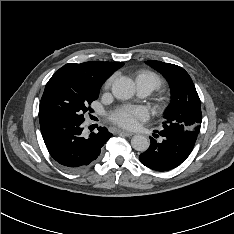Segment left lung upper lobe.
<instances>
[{
    "instance_id": "obj_1",
    "label": "left lung upper lobe",
    "mask_w": 234,
    "mask_h": 234,
    "mask_svg": "<svg viewBox=\"0 0 234 234\" xmlns=\"http://www.w3.org/2000/svg\"><path fill=\"white\" fill-rule=\"evenodd\" d=\"M160 72L169 82L172 93V106L165 115L163 130L183 136L186 141L195 144L202 113L200 99L189 74L180 66L161 61H146Z\"/></svg>"
}]
</instances>
